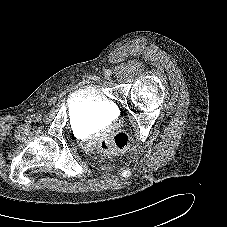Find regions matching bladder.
Returning <instances> with one entry per match:
<instances>
[{"label":"bladder","instance_id":"bladder-1","mask_svg":"<svg viewBox=\"0 0 227 227\" xmlns=\"http://www.w3.org/2000/svg\"><path fill=\"white\" fill-rule=\"evenodd\" d=\"M69 114L79 130L89 123H110L119 115L115 101L96 85H86L77 90L69 100Z\"/></svg>","mask_w":227,"mask_h":227}]
</instances>
